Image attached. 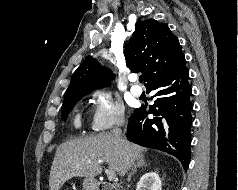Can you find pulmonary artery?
<instances>
[{
  "instance_id": "e3ab8cb5",
  "label": "pulmonary artery",
  "mask_w": 238,
  "mask_h": 190,
  "mask_svg": "<svg viewBox=\"0 0 238 190\" xmlns=\"http://www.w3.org/2000/svg\"><path fill=\"white\" fill-rule=\"evenodd\" d=\"M130 80H131V82H135L136 78L132 77ZM130 92L133 96L140 97L142 95L143 90L141 87H139L137 85H132L130 88Z\"/></svg>"
}]
</instances>
